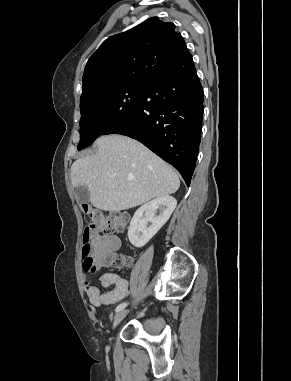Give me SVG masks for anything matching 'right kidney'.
I'll return each mask as SVG.
<instances>
[{"label": "right kidney", "mask_w": 291, "mask_h": 381, "mask_svg": "<svg viewBox=\"0 0 291 381\" xmlns=\"http://www.w3.org/2000/svg\"><path fill=\"white\" fill-rule=\"evenodd\" d=\"M176 205V199L166 195L141 206L130 222L128 229L130 243L138 248L147 244L168 221ZM157 211H159L158 215H156ZM148 223H150L149 226Z\"/></svg>", "instance_id": "ca27d5eb"}]
</instances>
